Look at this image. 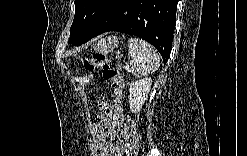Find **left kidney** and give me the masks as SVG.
Instances as JSON below:
<instances>
[{
	"instance_id": "1",
	"label": "left kidney",
	"mask_w": 247,
	"mask_h": 156,
	"mask_svg": "<svg viewBox=\"0 0 247 156\" xmlns=\"http://www.w3.org/2000/svg\"><path fill=\"white\" fill-rule=\"evenodd\" d=\"M152 79L145 77L131 82L129 87V106L132 113H139L150 92Z\"/></svg>"
}]
</instances>
